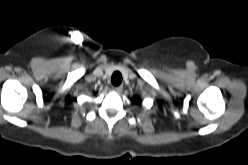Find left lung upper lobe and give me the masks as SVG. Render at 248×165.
<instances>
[{
    "instance_id": "1",
    "label": "left lung upper lobe",
    "mask_w": 248,
    "mask_h": 165,
    "mask_svg": "<svg viewBox=\"0 0 248 165\" xmlns=\"http://www.w3.org/2000/svg\"><path fill=\"white\" fill-rule=\"evenodd\" d=\"M139 101H140L139 97H134V102L135 103H139Z\"/></svg>"
}]
</instances>
